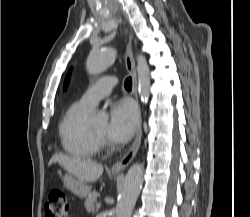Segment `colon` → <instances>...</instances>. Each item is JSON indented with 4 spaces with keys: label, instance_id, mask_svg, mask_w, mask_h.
<instances>
[{
    "label": "colon",
    "instance_id": "1",
    "mask_svg": "<svg viewBox=\"0 0 250 217\" xmlns=\"http://www.w3.org/2000/svg\"><path fill=\"white\" fill-rule=\"evenodd\" d=\"M69 212L70 206L65 192L60 189L50 191L44 206L45 217H69Z\"/></svg>",
    "mask_w": 250,
    "mask_h": 217
}]
</instances>
